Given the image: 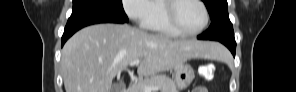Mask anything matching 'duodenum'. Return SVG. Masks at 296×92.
Returning <instances> with one entry per match:
<instances>
[{"instance_id":"1","label":"duodenum","mask_w":296,"mask_h":92,"mask_svg":"<svg viewBox=\"0 0 296 92\" xmlns=\"http://www.w3.org/2000/svg\"><path fill=\"white\" fill-rule=\"evenodd\" d=\"M122 92H134V90L132 89V87H127Z\"/></svg>"}]
</instances>
